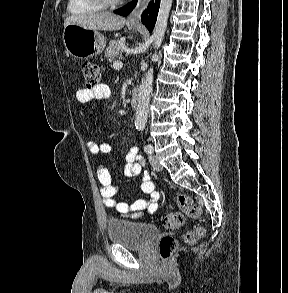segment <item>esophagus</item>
<instances>
[{"label":"esophagus","mask_w":288,"mask_h":293,"mask_svg":"<svg viewBox=\"0 0 288 293\" xmlns=\"http://www.w3.org/2000/svg\"><path fill=\"white\" fill-rule=\"evenodd\" d=\"M148 3H149V0H139L136 8L129 15L128 22L133 25H140L141 24L140 15Z\"/></svg>","instance_id":"1"}]
</instances>
